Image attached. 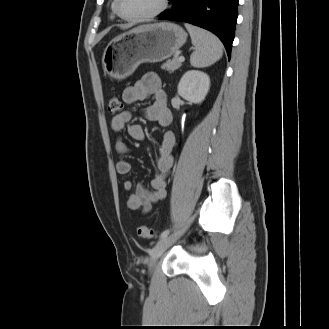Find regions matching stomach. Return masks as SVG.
<instances>
[{
  "label": "stomach",
  "instance_id": "obj_1",
  "mask_svg": "<svg viewBox=\"0 0 329 329\" xmlns=\"http://www.w3.org/2000/svg\"><path fill=\"white\" fill-rule=\"evenodd\" d=\"M187 40L177 24L141 25L112 39L104 50L102 64L112 78L124 79L141 63H156L171 57Z\"/></svg>",
  "mask_w": 329,
  "mask_h": 329
}]
</instances>
